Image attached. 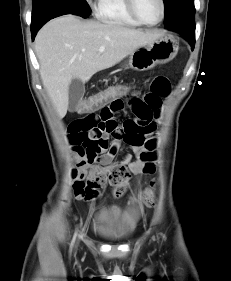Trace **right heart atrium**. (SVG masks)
Returning a JSON list of instances; mask_svg holds the SVG:
<instances>
[{"label":"right heart atrium","instance_id":"d8ad5b80","mask_svg":"<svg viewBox=\"0 0 231 281\" xmlns=\"http://www.w3.org/2000/svg\"><path fill=\"white\" fill-rule=\"evenodd\" d=\"M95 0H86L87 3L93 4Z\"/></svg>","mask_w":231,"mask_h":281}]
</instances>
